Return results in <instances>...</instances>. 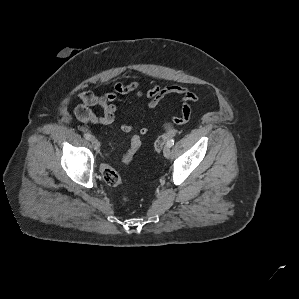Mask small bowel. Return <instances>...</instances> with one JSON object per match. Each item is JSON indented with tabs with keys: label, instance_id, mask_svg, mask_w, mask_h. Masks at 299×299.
I'll return each instance as SVG.
<instances>
[{
	"label": "small bowel",
	"instance_id": "small-bowel-1",
	"mask_svg": "<svg viewBox=\"0 0 299 299\" xmlns=\"http://www.w3.org/2000/svg\"><path fill=\"white\" fill-rule=\"evenodd\" d=\"M182 96L183 106L181 113L172 117L175 124L186 123L191 114V104L195 103L198 98L190 89L179 86H159L153 85L147 90L140 88L138 80H132L129 83L116 82L110 91H106L101 95H96L91 91H82L78 94L81 103L76 107L75 114L82 123H91L99 125H110L116 119L117 105L119 101H123L122 97H145L148 99V107L154 109L167 96ZM100 107L103 110L101 115H97L93 108ZM121 128L125 133L145 136L148 133L147 128L136 130L126 122L121 124Z\"/></svg>",
	"mask_w": 299,
	"mask_h": 299
}]
</instances>
